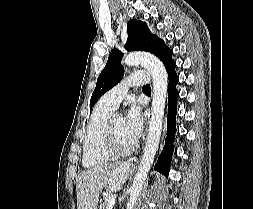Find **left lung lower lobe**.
Instances as JSON below:
<instances>
[{"mask_svg":"<svg viewBox=\"0 0 253 209\" xmlns=\"http://www.w3.org/2000/svg\"><path fill=\"white\" fill-rule=\"evenodd\" d=\"M176 63L172 62L167 68L169 77V92H168V118H167V137L165 140V146L161 152L159 159L155 165V169L159 172L168 175L170 171V164L172 154L174 150L173 142L176 133V101L179 95L176 90V84L178 83V77L175 72Z\"/></svg>","mask_w":253,"mask_h":209,"instance_id":"0a47b994","label":"left lung lower lobe"}]
</instances>
